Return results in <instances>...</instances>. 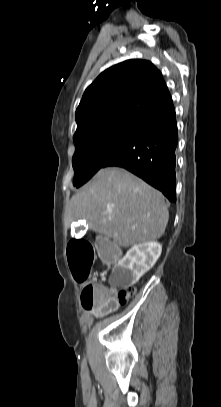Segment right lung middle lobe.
<instances>
[{"instance_id": "obj_1", "label": "right lung middle lobe", "mask_w": 221, "mask_h": 407, "mask_svg": "<svg viewBox=\"0 0 221 407\" xmlns=\"http://www.w3.org/2000/svg\"><path fill=\"white\" fill-rule=\"evenodd\" d=\"M138 124L122 123L92 131L75 142L73 185L86 183L130 137Z\"/></svg>"}]
</instances>
